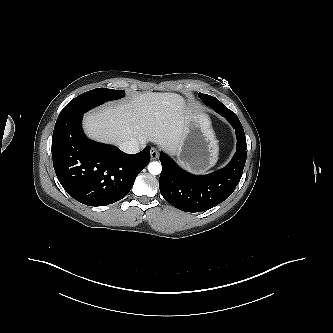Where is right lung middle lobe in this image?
Masks as SVG:
<instances>
[{
    "mask_svg": "<svg viewBox=\"0 0 333 333\" xmlns=\"http://www.w3.org/2000/svg\"><path fill=\"white\" fill-rule=\"evenodd\" d=\"M124 95L125 93L122 90L107 88L93 89L71 100L61 113H72L74 115L83 114L106 101L119 99Z\"/></svg>",
    "mask_w": 333,
    "mask_h": 333,
    "instance_id": "dd1d6c3e",
    "label": "right lung middle lobe"
}]
</instances>
